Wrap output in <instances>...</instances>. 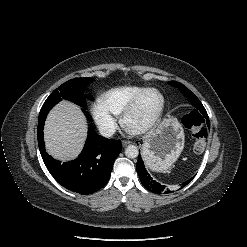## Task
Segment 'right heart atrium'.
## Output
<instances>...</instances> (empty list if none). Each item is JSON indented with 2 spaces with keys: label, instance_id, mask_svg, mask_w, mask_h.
Segmentation results:
<instances>
[{
  "label": "right heart atrium",
  "instance_id": "right-heart-atrium-1",
  "mask_svg": "<svg viewBox=\"0 0 247 247\" xmlns=\"http://www.w3.org/2000/svg\"><path fill=\"white\" fill-rule=\"evenodd\" d=\"M91 113L96 125L103 135L111 136L115 132L117 119L101 101H96L91 105Z\"/></svg>",
  "mask_w": 247,
  "mask_h": 247
}]
</instances>
